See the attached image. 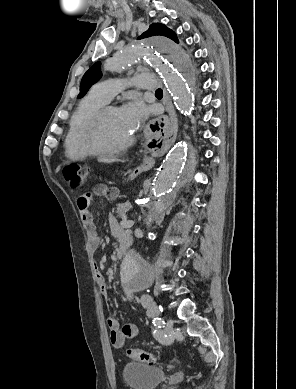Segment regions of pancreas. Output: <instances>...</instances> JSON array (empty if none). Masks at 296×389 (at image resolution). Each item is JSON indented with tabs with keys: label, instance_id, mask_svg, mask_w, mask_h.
<instances>
[{
	"label": "pancreas",
	"instance_id": "obj_1",
	"mask_svg": "<svg viewBox=\"0 0 296 389\" xmlns=\"http://www.w3.org/2000/svg\"><path fill=\"white\" fill-rule=\"evenodd\" d=\"M132 208L131 204L129 202L117 204L116 213L119 217L122 219L126 218V212H128Z\"/></svg>",
	"mask_w": 296,
	"mask_h": 389
}]
</instances>
